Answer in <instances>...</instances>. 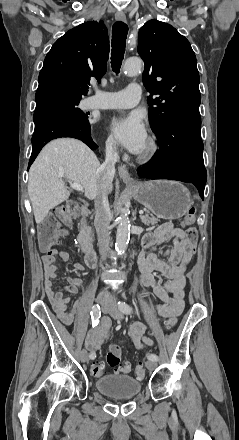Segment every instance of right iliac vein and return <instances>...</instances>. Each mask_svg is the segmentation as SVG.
I'll return each instance as SVG.
<instances>
[{
	"mask_svg": "<svg viewBox=\"0 0 239 440\" xmlns=\"http://www.w3.org/2000/svg\"><path fill=\"white\" fill-rule=\"evenodd\" d=\"M98 301L101 303L103 313H107L109 308H110V304L107 303V302H104L102 298H98ZM80 359H81L82 362H88L89 355H88V352L86 350L83 349L80 352Z\"/></svg>",
	"mask_w": 239,
	"mask_h": 440,
	"instance_id": "1",
	"label": "right iliac vein"
}]
</instances>
